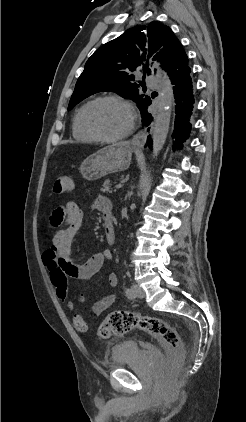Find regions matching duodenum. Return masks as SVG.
Returning <instances> with one entry per match:
<instances>
[{"mask_svg":"<svg viewBox=\"0 0 246 422\" xmlns=\"http://www.w3.org/2000/svg\"><path fill=\"white\" fill-rule=\"evenodd\" d=\"M104 228L107 242L113 244L115 242V230L111 218H106L104 220Z\"/></svg>","mask_w":246,"mask_h":422,"instance_id":"1","label":"duodenum"}]
</instances>
